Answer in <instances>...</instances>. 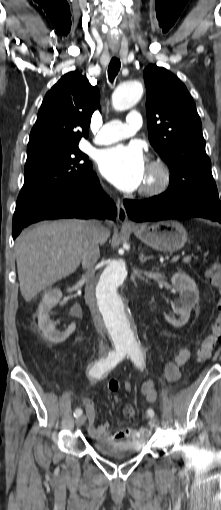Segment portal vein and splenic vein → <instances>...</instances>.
Wrapping results in <instances>:
<instances>
[{
    "instance_id": "obj_1",
    "label": "portal vein and splenic vein",
    "mask_w": 221,
    "mask_h": 510,
    "mask_svg": "<svg viewBox=\"0 0 221 510\" xmlns=\"http://www.w3.org/2000/svg\"><path fill=\"white\" fill-rule=\"evenodd\" d=\"M178 259H179V256H175V257L172 258L171 261L174 262V261H177ZM190 260H191L190 256H187V257L183 258V262H189Z\"/></svg>"
}]
</instances>
